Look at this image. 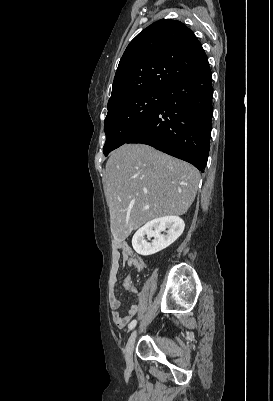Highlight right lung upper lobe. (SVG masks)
Segmentation results:
<instances>
[{
    "instance_id": "1",
    "label": "right lung upper lobe",
    "mask_w": 273,
    "mask_h": 401,
    "mask_svg": "<svg viewBox=\"0 0 273 401\" xmlns=\"http://www.w3.org/2000/svg\"><path fill=\"white\" fill-rule=\"evenodd\" d=\"M207 64V56L192 30L180 21L161 19L127 46L108 104L142 91L164 92Z\"/></svg>"
}]
</instances>
